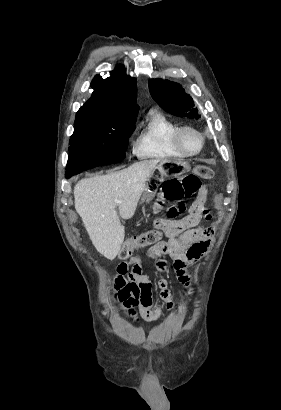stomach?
Masks as SVG:
<instances>
[{
    "instance_id": "0dacf381",
    "label": "stomach",
    "mask_w": 281,
    "mask_h": 410,
    "mask_svg": "<svg viewBox=\"0 0 281 410\" xmlns=\"http://www.w3.org/2000/svg\"><path fill=\"white\" fill-rule=\"evenodd\" d=\"M190 170L187 162L174 159H163L151 172L146 181L145 191L142 196V202L149 203L154 197L159 185L167 177H177Z\"/></svg>"
}]
</instances>
